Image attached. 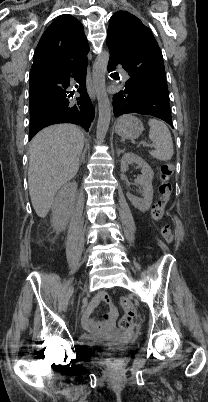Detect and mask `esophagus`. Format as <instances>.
<instances>
[{"mask_svg":"<svg viewBox=\"0 0 208 402\" xmlns=\"http://www.w3.org/2000/svg\"><path fill=\"white\" fill-rule=\"evenodd\" d=\"M87 79H88L87 91H88V94L91 97V99L94 100L96 93H95V89H94L92 78H91L90 74L88 75Z\"/></svg>","mask_w":208,"mask_h":402,"instance_id":"esophagus-1","label":"esophagus"}]
</instances>
